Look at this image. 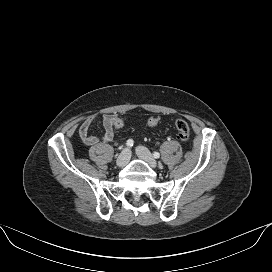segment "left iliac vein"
<instances>
[{
  "instance_id": "left-iliac-vein-1",
  "label": "left iliac vein",
  "mask_w": 272,
  "mask_h": 272,
  "mask_svg": "<svg viewBox=\"0 0 272 272\" xmlns=\"http://www.w3.org/2000/svg\"><path fill=\"white\" fill-rule=\"evenodd\" d=\"M136 154L140 159L145 161L151 168L157 167V162L150 153V151L144 146H138L136 148Z\"/></svg>"
}]
</instances>
